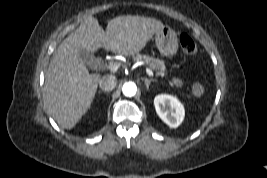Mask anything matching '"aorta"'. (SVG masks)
Segmentation results:
<instances>
[{
  "mask_svg": "<svg viewBox=\"0 0 267 178\" xmlns=\"http://www.w3.org/2000/svg\"><path fill=\"white\" fill-rule=\"evenodd\" d=\"M122 92L126 97H133L137 92V86L134 82H126L122 87Z\"/></svg>",
  "mask_w": 267,
  "mask_h": 178,
  "instance_id": "762f6f07",
  "label": "aorta"
}]
</instances>
